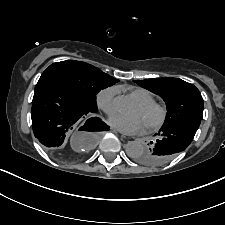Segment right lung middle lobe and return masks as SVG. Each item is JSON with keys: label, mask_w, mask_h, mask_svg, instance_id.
<instances>
[{"label": "right lung middle lobe", "mask_w": 225, "mask_h": 225, "mask_svg": "<svg viewBox=\"0 0 225 225\" xmlns=\"http://www.w3.org/2000/svg\"><path fill=\"white\" fill-rule=\"evenodd\" d=\"M40 79H50L61 84L94 112H97V93L119 81L93 65L74 60L53 63Z\"/></svg>", "instance_id": "dd1d6c3e"}]
</instances>
